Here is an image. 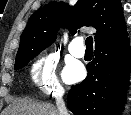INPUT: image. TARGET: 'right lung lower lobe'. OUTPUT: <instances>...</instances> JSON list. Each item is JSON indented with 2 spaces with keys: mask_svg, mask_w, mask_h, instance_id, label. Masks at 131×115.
Here are the masks:
<instances>
[{
  "mask_svg": "<svg viewBox=\"0 0 131 115\" xmlns=\"http://www.w3.org/2000/svg\"><path fill=\"white\" fill-rule=\"evenodd\" d=\"M130 54L127 35L96 46L86 79L68 93V109L75 115H119L129 86Z\"/></svg>",
  "mask_w": 131,
  "mask_h": 115,
  "instance_id": "right-lung-lower-lobe-1",
  "label": "right lung lower lobe"
}]
</instances>
